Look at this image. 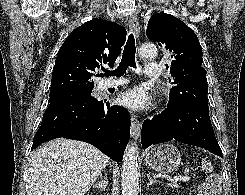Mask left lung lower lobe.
<instances>
[{
  "mask_svg": "<svg viewBox=\"0 0 245 195\" xmlns=\"http://www.w3.org/2000/svg\"><path fill=\"white\" fill-rule=\"evenodd\" d=\"M176 140L185 144L202 147L223 157L217 143L209 116V108L196 103L167 108L142 126L141 142L143 149L151 144Z\"/></svg>",
  "mask_w": 245,
  "mask_h": 195,
  "instance_id": "1",
  "label": "left lung lower lobe"
}]
</instances>
